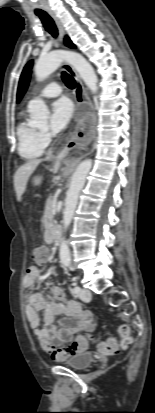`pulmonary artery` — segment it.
<instances>
[{"label":"pulmonary artery","mask_w":155,"mask_h":413,"mask_svg":"<svg viewBox=\"0 0 155 413\" xmlns=\"http://www.w3.org/2000/svg\"><path fill=\"white\" fill-rule=\"evenodd\" d=\"M62 88L56 81L49 82L41 91L39 92V96L44 98H51L57 97L61 94Z\"/></svg>","instance_id":"pulmonary-artery-1"}]
</instances>
